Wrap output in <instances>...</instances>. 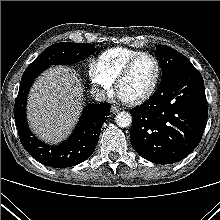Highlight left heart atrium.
Wrapping results in <instances>:
<instances>
[{
  "label": "left heart atrium",
  "mask_w": 220,
  "mask_h": 220,
  "mask_svg": "<svg viewBox=\"0 0 220 220\" xmlns=\"http://www.w3.org/2000/svg\"><path fill=\"white\" fill-rule=\"evenodd\" d=\"M118 97L123 101H127V99L124 96H122L120 93H118Z\"/></svg>",
  "instance_id": "39dd6f15"
}]
</instances>
